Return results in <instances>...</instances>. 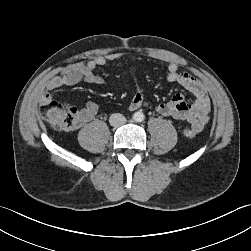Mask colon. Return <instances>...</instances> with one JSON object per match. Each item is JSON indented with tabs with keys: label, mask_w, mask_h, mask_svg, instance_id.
<instances>
[{
	"label": "colon",
	"mask_w": 251,
	"mask_h": 251,
	"mask_svg": "<svg viewBox=\"0 0 251 251\" xmlns=\"http://www.w3.org/2000/svg\"><path fill=\"white\" fill-rule=\"evenodd\" d=\"M38 113L42 118L47 119L57 130L71 131L78 124V111L76 108L65 107L54 101L41 104ZM185 135L192 138L195 135V130L193 128L186 129Z\"/></svg>",
	"instance_id": "1"
}]
</instances>
